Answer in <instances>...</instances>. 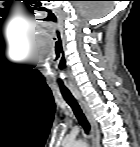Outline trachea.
<instances>
[{
    "mask_svg": "<svg viewBox=\"0 0 140 147\" xmlns=\"http://www.w3.org/2000/svg\"><path fill=\"white\" fill-rule=\"evenodd\" d=\"M62 95L66 100V102L69 104V106L72 108L76 118L78 119L81 126L84 128L85 132L88 133L90 131V125L86 120L84 114L82 113V110L80 109L74 97L68 93H62Z\"/></svg>",
    "mask_w": 140,
    "mask_h": 147,
    "instance_id": "obj_1",
    "label": "trachea"
}]
</instances>
